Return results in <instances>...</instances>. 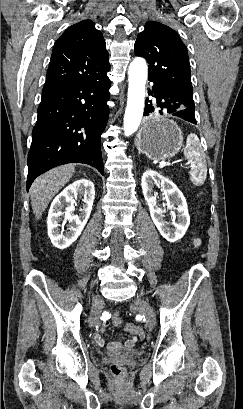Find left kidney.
Returning a JSON list of instances; mask_svg holds the SVG:
<instances>
[{"label": "left kidney", "instance_id": "obj_1", "mask_svg": "<svg viewBox=\"0 0 243 409\" xmlns=\"http://www.w3.org/2000/svg\"><path fill=\"white\" fill-rule=\"evenodd\" d=\"M161 187L167 201V208L177 210L178 219L172 220L174 228H169V223L165 222L163 213L165 212L157 206L156 192L154 186ZM141 187L144 198L149 206L151 218L160 234L169 242H176L181 239L190 224L187 202L181 191L168 178L163 177L156 171H146L141 179ZM176 206V207H175Z\"/></svg>", "mask_w": 243, "mask_h": 409}]
</instances>
